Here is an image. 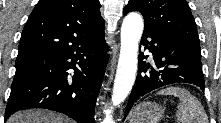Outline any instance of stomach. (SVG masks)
Returning a JSON list of instances; mask_svg holds the SVG:
<instances>
[{"label":"stomach","instance_id":"1","mask_svg":"<svg viewBox=\"0 0 221 123\" xmlns=\"http://www.w3.org/2000/svg\"><path fill=\"white\" fill-rule=\"evenodd\" d=\"M165 108L155 102H143L137 105L130 117V123H158Z\"/></svg>","mask_w":221,"mask_h":123}]
</instances>
